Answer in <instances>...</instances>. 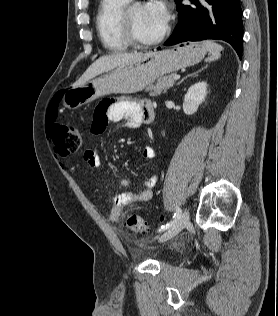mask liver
I'll use <instances>...</instances> for the list:
<instances>
[{"mask_svg": "<svg viewBox=\"0 0 278 316\" xmlns=\"http://www.w3.org/2000/svg\"><path fill=\"white\" fill-rule=\"evenodd\" d=\"M155 54L156 52H146V53L135 52V53H117V54L102 56L99 59H97L72 86L73 87L80 86L104 72H108L125 65L137 63Z\"/></svg>", "mask_w": 278, "mask_h": 316, "instance_id": "6515ba94", "label": "liver"}]
</instances>
